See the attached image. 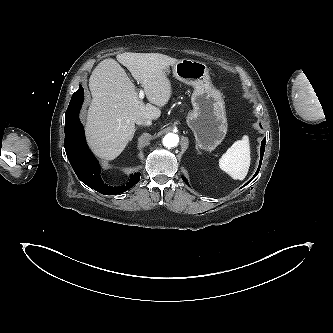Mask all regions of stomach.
<instances>
[{
	"label": "stomach",
	"instance_id": "stomach-1",
	"mask_svg": "<svg viewBox=\"0 0 333 333\" xmlns=\"http://www.w3.org/2000/svg\"><path fill=\"white\" fill-rule=\"evenodd\" d=\"M172 70L177 80L194 88L193 110L187 116V124L197 145L206 151L214 150L224 139L228 127L222 93L213 86L209 69L203 62L182 59ZM164 72L166 74L167 69Z\"/></svg>",
	"mask_w": 333,
	"mask_h": 333
}]
</instances>
